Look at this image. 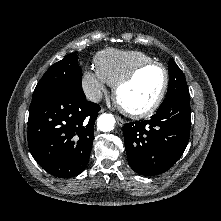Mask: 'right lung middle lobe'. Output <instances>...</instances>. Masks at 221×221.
Instances as JSON below:
<instances>
[{
    "label": "right lung middle lobe",
    "instance_id": "1",
    "mask_svg": "<svg viewBox=\"0 0 221 221\" xmlns=\"http://www.w3.org/2000/svg\"><path fill=\"white\" fill-rule=\"evenodd\" d=\"M65 91L84 94L81 67L74 53L68 54L45 72L34 90L30 109L51 95Z\"/></svg>",
    "mask_w": 221,
    "mask_h": 221
}]
</instances>
